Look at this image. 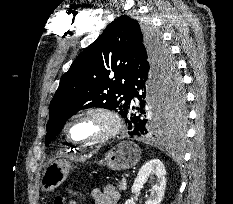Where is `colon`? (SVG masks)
<instances>
[{"instance_id":"5ec220e1","label":"colon","mask_w":233,"mask_h":204,"mask_svg":"<svg viewBox=\"0 0 233 204\" xmlns=\"http://www.w3.org/2000/svg\"><path fill=\"white\" fill-rule=\"evenodd\" d=\"M53 204H66L65 197L62 195H58L55 197ZM68 204H77L74 200H71Z\"/></svg>"}]
</instances>
